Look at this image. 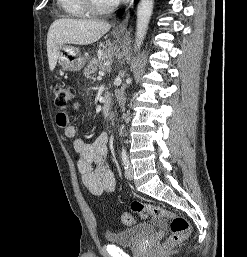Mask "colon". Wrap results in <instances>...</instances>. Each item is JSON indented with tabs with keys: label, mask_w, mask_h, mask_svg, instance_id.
<instances>
[{
	"label": "colon",
	"mask_w": 247,
	"mask_h": 257,
	"mask_svg": "<svg viewBox=\"0 0 247 257\" xmlns=\"http://www.w3.org/2000/svg\"><path fill=\"white\" fill-rule=\"evenodd\" d=\"M55 102L59 108V113L66 115L67 110L74 99V89L64 83H59L54 88ZM131 212L124 213L121 217L122 222L126 225H131L135 222V216L142 218L151 216L156 220L169 219L171 234L164 243V249H169L181 244L185 241L191 233V226L189 221L174 212H171L163 207L134 201L131 203Z\"/></svg>",
	"instance_id": "5ec220e1"
}]
</instances>
